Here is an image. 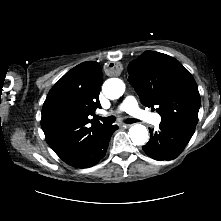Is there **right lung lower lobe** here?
<instances>
[{"instance_id":"right-lung-lower-lobe-1","label":"right lung lower lobe","mask_w":221,"mask_h":221,"mask_svg":"<svg viewBox=\"0 0 221 221\" xmlns=\"http://www.w3.org/2000/svg\"><path fill=\"white\" fill-rule=\"evenodd\" d=\"M117 129L116 125H105L82 148L63 161L77 168L94 166L105 156L110 138Z\"/></svg>"}]
</instances>
